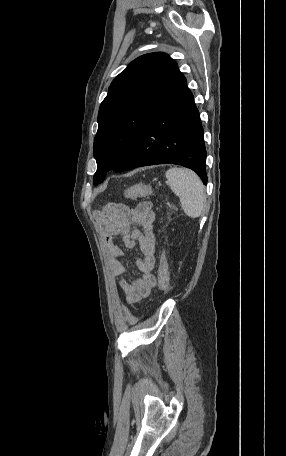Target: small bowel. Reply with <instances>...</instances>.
<instances>
[{
  "label": "small bowel",
  "mask_w": 286,
  "mask_h": 456,
  "mask_svg": "<svg viewBox=\"0 0 286 456\" xmlns=\"http://www.w3.org/2000/svg\"><path fill=\"white\" fill-rule=\"evenodd\" d=\"M94 217L104 235L106 260L112 274L126 273V268L120 261L123 252L117 245L116 238L124 236L128 247H132L134 240H138L142 258L136 262V265L141 276L134 280L123 278L119 281V287L129 303H135L148 296L156 283L152 273L155 266L156 214L152 204L142 202L133 208L123 204H111L110 208L96 212ZM129 233L131 234L128 235Z\"/></svg>",
  "instance_id": "c3829d8e"
}]
</instances>
